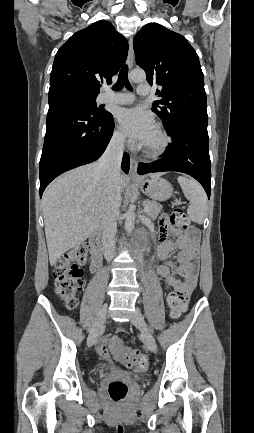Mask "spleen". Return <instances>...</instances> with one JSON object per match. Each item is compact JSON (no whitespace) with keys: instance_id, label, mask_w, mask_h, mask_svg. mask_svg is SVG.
<instances>
[{"instance_id":"spleen-1","label":"spleen","mask_w":254,"mask_h":433,"mask_svg":"<svg viewBox=\"0 0 254 433\" xmlns=\"http://www.w3.org/2000/svg\"><path fill=\"white\" fill-rule=\"evenodd\" d=\"M178 183L189 200L190 205L187 209L188 217L197 224H202L207 216V196L202 186L195 181L184 176L177 178Z\"/></svg>"}]
</instances>
